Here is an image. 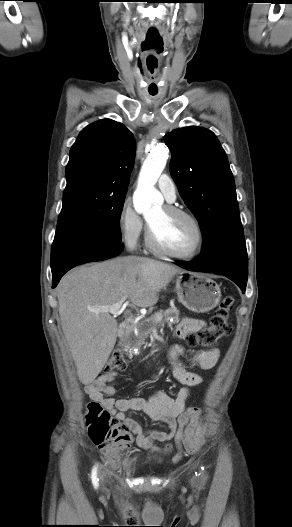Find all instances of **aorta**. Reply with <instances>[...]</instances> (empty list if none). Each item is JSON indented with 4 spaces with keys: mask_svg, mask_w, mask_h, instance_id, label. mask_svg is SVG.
<instances>
[{
    "mask_svg": "<svg viewBox=\"0 0 292 527\" xmlns=\"http://www.w3.org/2000/svg\"><path fill=\"white\" fill-rule=\"evenodd\" d=\"M168 156V148L163 144L153 147L147 155L133 195V204L137 213L147 214L163 201L162 195L155 189V184L166 166Z\"/></svg>",
    "mask_w": 292,
    "mask_h": 527,
    "instance_id": "1",
    "label": "aorta"
}]
</instances>
